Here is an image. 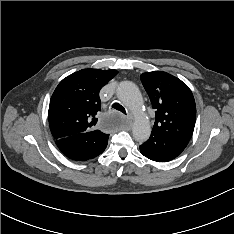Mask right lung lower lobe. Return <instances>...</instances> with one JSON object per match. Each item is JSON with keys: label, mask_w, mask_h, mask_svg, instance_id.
Masks as SVG:
<instances>
[{"label": "right lung lower lobe", "mask_w": 234, "mask_h": 234, "mask_svg": "<svg viewBox=\"0 0 234 234\" xmlns=\"http://www.w3.org/2000/svg\"><path fill=\"white\" fill-rule=\"evenodd\" d=\"M108 138L109 134L94 130L58 139L56 145L68 158L85 161L100 155L107 146Z\"/></svg>", "instance_id": "98d812e1"}]
</instances>
